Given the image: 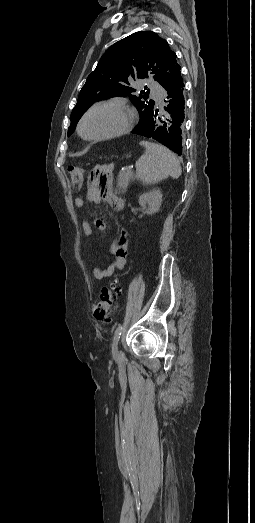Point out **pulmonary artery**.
<instances>
[{"label": "pulmonary artery", "mask_w": 255, "mask_h": 523, "mask_svg": "<svg viewBox=\"0 0 255 523\" xmlns=\"http://www.w3.org/2000/svg\"><path fill=\"white\" fill-rule=\"evenodd\" d=\"M145 88L147 90L151 89V93L149 95V98L152 102V105L154 108L159 109L163 105V100L165 98V95L163 93V85L161 82L158 81V79L153 78L151 81H147V84L145 85Z\"/></svg>", "instance_id": "e3ab8cb5"}]
</instances>
